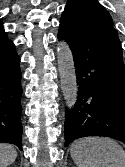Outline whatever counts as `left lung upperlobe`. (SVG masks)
I'll list each match as a JSON object with an SVG mask.
<instances>
[{
	"mask_svg": "<svg viewBox=\"0 0 125 167\" xmlns=\"http://www.w3.org/2000/svg\"><path fill=\"white\" fill-rule=\"evenodd\" d=\"M60 22L71 26L95 27L112 25V18L97 0H68Z\"/></svg>",
	"mask_w": 125,
	"mask_h": 167,
	"instance_id": "left-lung-upper-lobe-1",
	"label": "left lung upper lobe"
}]
</instances>
